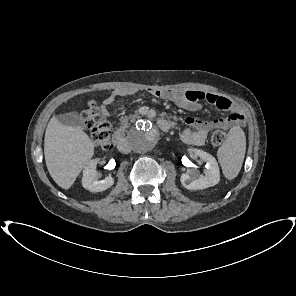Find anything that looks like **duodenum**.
Listing matches in <instances>:
<instances>
[{
	"instance_id": "1",
	"label": "duodenum",
	"mask_w": 296,
	"mask_h": 296,
	"mask_svg": "<svg viewBox=\"0 0 296 296\" xmlns=\"http://www.w3.org/2000/svg\"><path fill=\"white\" fill-rule=\"evenodd\" d=\"M158 126L164 131H168L173 127L172 123L166 119H159ZM112 141L113 144L116 145L121 152L128 151V144L125 141L124 135L121 130H116L113 133Z\"/></svg>"
}]
</instances>
